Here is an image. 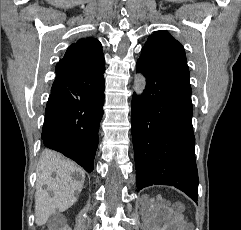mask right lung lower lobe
<instances>
[{"mask_svg": "<svg viewBox=\"0 0 241 230\" xmlns=\"http://www.w3.org/2000/svg\"><path fill=\"white\" fill-rule=\"evenodd\" d=\"M55 71L42 140L46 147L61 152L92 172L103 116L105 70H77L59 62Z\"/></svg>", "mask_w": 241, "mask_h": 230, "instance_id": "right-lung-lower-lobe-1", "label": "right lung lower lobe"}]
</instances>
